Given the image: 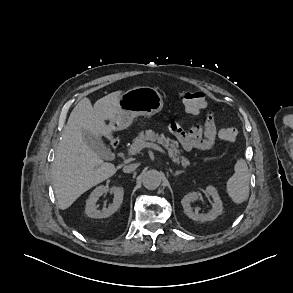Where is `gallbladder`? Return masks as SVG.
<instances>
[{
  "mask_svg": "<svg viewBox=\"0 0 293 293\" xmlns=\"http://www.w3.org/2000/svg\"><path fill=\"white\" fill-rule=\"evenodd\" d=\"M83 137L87 145L99 156L105 158L109 153L103 141L88 131H83Z\"/></svg>",
  "mask_w": 293,
  "mask_h": 293,
  "instance_id": "gallbladder-1",
  "label": "gallbladder"
}]
</instances>
